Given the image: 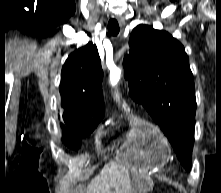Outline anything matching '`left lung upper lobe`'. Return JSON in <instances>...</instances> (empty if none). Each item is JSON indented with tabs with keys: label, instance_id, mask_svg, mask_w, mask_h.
Wrapping results in <instances>:
<instances>
[{
	"label": "left lung upper lobe",
	"instance_id": "left-lung-upper-lobe-1",
	"mask_svg": "<svg viewBox=\"0 0 221 193\" xmlns=\"http://www.w3.org/2000/svg\"><path fill=\"white\" fill-rule=\"evenodd\" d=\"M129 46L124 58L129 94L147 109L190 170L196 98L184 47L168 32L148 25L132 31Z\"/></svg>",
	"mask_w": 221,
	"mask_h": 193
}]
</instances>
